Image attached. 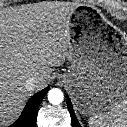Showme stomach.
Returning <instances> with one entry per match:
<instances>
[{"label":"stomach","instance_id":"1","mask_svg":"<svg viewBox=\"0 0 127 127\" xmlns=\"http://www.w3.org/2000/svg\"><path fill=\"white\" fill-rule=\"evenodd\" d=\"M83 7L76 18L89 13ZM70 53L68 73L58 79L79 98L83 114L91 115L112 108L127 95V56L116 53L99 34L82 30Z\"/></svg>","mask_w":127,"mask_h":127}]
</instances>
